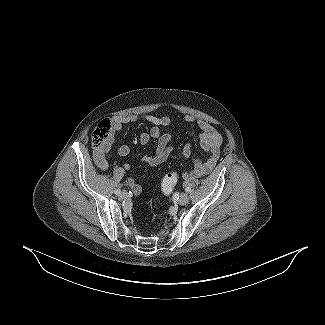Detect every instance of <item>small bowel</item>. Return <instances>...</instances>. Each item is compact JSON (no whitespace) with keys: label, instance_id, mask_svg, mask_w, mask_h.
Segmentation results:
<instances>
[{"label":"small bowel","instance_id":"c3829d8e","mask_svg":"<svg viewBox=\"0 0 325 325\" xmlns=\"http://www.w3.org/2000/svg\"><path fill=\"white\" fill-rule=\"evenodd\" d=\"M140 119L152 124V128L149 132H144L139 136L140 143L147 144L150 139H155L157 141L154 155L144 156L142 160L152 166L159 165L167 160L172 152V137L170 134L163 133L162 129L170 125V118L167 116H155L151 114H130L114 117L111 120V133L107 141L101 147L94 150V160L100 169H108V157L114 144L116 134L122 131L126 123ZM185 121L189 124L197 123L200 147L209 154V157L204 161L195 158L193 168L186 171L184 177L188 179L208 175L214 169L219 160L220 149L223 141L222 137L212 126L204 122H197L193 116H186ZM129 153L130 148L126 144H123L118 148V154L120 156H127ZM192 153L193 149L191 145L184 146L181 152L182 161H187L192 156ZM123 167L129 169L130 165L124 164ZM127 185L134 194L140 193L141 188L135 180L128 178Z\"/></svg>","mask_w":325,"mask_h":325}]
</instances>
